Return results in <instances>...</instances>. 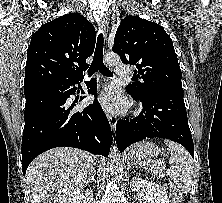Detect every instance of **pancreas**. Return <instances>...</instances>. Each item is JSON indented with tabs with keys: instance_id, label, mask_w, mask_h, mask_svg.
Masks as SVG:
<instances>
[{
	"instance_id": "pancreas-1",
	"label": "pancreas",
	"mask_w": 222,
	"mask_h": 203,
	"mask_svg": "<svg viewBox=\"0 0 222 203\" xmlns=\"http://www.w3.org/2000/svg\"><path fill=\"white\" fill-rule=\"evenodd\" d=\"M157 160L156 161H147L145 162V168H147L148 170H151L153 172L154 175H157L159 177H163L164 176V170H165V164L164 162L161 164H157Z\"/></svg>"
}]
</instances>
